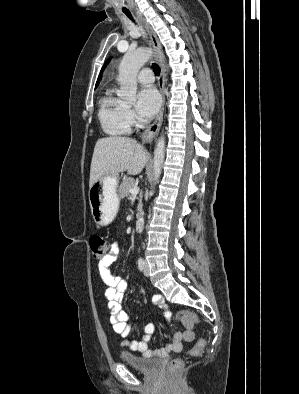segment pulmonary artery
I'll return each mask as SVG.
<instances>
[{
    "mask_svg": "<svg viewBox=\"0 0 299 394\" xmlns=\"http://www.w3.org/2000/svg\"><path fill=\"white\" fill-rule=\"evenodd\" d=\"M137 79L142 84L150 85L154 81V75L150 69L145 68L139 72Z\"/></svg>",
    "mask_w": 299,
    "mask_h": 394,
    "instance_id": "1",
    "label": "pulmonary artery"
}]
</instances>
